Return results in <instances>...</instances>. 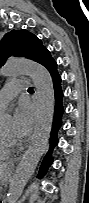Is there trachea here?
Segmentation results:
<instances>
[{"instance_id":"trachea-1","label":"trachea","mask_w":89,"mask_h":203,"mask_svg":"<svg viewBox=\"0 0 89 203\" xmlns=\"http://www.w3.org/2000/svg\"><path fill=\"white\" fill-rule=\"evenodd\" d=\"M28 91H33V88H31V87H30V88H28Z\"/></svg>"}]
</instances>
